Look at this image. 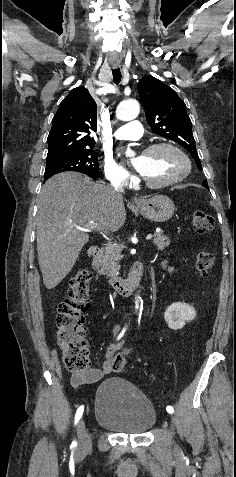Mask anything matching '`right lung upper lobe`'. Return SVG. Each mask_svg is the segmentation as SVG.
<instances>
[{
	"instance_id": "1",
	"label": "right lung upper lobe",
	"mask_w": 236,
	"mask_h": 477,
	"mask_svg": "<svg viewBox=\"0 0 236 477\" xmlns=\"http://www.w3.org/2000/svg\"><path fill=\"white\" fill-rule=\"evenodd\" d=\"M97 105L84 87L71 90L57 110L48 135L47 160L67 156L95 145L90 131H96Z\"/></svg>"
}]
</instances>
